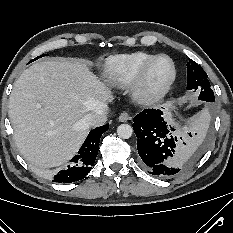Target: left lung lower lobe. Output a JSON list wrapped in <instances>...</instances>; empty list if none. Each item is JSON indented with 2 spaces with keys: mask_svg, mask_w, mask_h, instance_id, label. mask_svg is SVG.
<instances>
[{
  "mask_svg": "<svg viewBox=\"0 0 233 233\" xmlns=\"http://www.w3.org/2000/svg\"><path fill=\"white\" fill-rule=\"evenodd\" d=\"M162 115L161 110L145 109L134 117L133 129L138 154L149 172L169 178L197 161L203 150L197 145L187 146L182 137L172 136Z\"/></svg>",
  "mask_w": 233,
  "mask_h": 233,
  "instance_id": "1",
  "label": "left lung lower lobe"
}]
</instances>
